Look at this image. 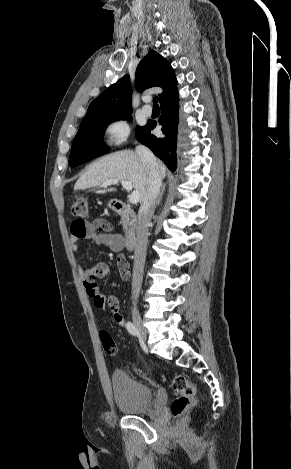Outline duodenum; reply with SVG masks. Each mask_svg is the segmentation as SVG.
I'll use <instances>...</instances> for the list:
<instances>
[{
  "label": "duodenum",
  "mask_w": 291,
  "mask_h": 469,
  "mask_svg": "<svg viewBox=\"0 0 291 469\" xmlns=\"http://www.w3.org/2000/svg\"><path fill=\"white\" fill-rule=\"evenodd\" d=\"M114 210L123 215L128 222V229L124 238V247L127 250H133L137 243V216L135 211L126 203L115 200L113 202Z\"/></svg>",
  "instance_id": "410a0bca"
}]
</instances>
